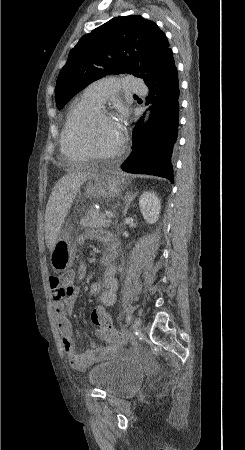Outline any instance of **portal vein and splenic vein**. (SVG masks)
Masks as SVG:
<instances>
[{"label":"portal vein and splenic vein","instance_id":"18ae733b","mask_svg":"<svg viewBox=\"0 0 245 450\" xmlns=\"http://www.w3.org/2000/svg\"><path fill=\"white\" fill-rule=\"evenodd\" d=\"M104 215H105L106 217H108V218H114V217H115L114 213H113V212H110V211H106V212L104 213Z\"/></svg>","mask_w":245,"mask_h":450}]
</instances>
